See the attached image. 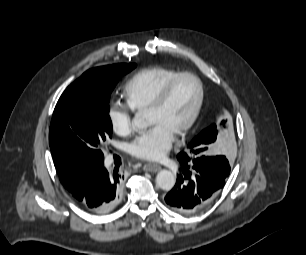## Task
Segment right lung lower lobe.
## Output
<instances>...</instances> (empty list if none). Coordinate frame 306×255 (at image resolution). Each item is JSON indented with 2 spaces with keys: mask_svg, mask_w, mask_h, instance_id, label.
<instances>
[{
  "mask_svg": "<svg viewBox=\"0 0 306 255\" xmlns=\"http://www.w3.org/2000/svg\"><path fill=\"white\" fill-rule=\"evenodd\" d=\"M75 201L89 212L103 214L115 208L122 195V174L108 172L103 165L90 166L70 191Z\"/></svg>",
  "mask_w": 306,
  "mask_h": 255,
  "instance_id": "obj_1",
  "label": "right lung lower lobe"
}]
</instances>
